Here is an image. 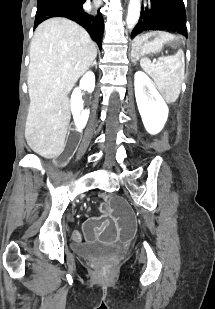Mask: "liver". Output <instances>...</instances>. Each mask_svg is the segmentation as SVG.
Here are the masks:
<instances>
[{"instance_id": "1", "label": "liver", "mask_w": 215, "mask_h": 309, "mask_svg": "<svg viewBox=\"0 0 215 309\" xmlns=\"http://www.w3.org/2000/svg\"><path fill=\"white\" fill-rule=\"evenodd\" d=\"M97 54L95 42L77 22L55 16L37 26L30 44L27 144L45 159L65 148L71 118L67 96Z\"/></svg>"}]
</instances>
